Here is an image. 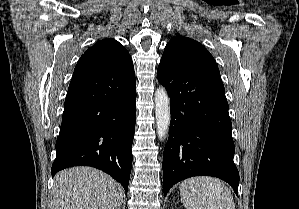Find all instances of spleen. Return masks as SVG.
<instances>
[{"label": "spleen", "instance_id": "1", "mask_svg": "<svg viewBox=\"0 0 299 209\" xmlns=\"http://www.w3.org/2000/svg\"><path fill=\"white\" fill-rule=\"evenodd\" d=\"M180 197L186 209H235L231 190L213 177L184 180L180 184Z\"/></svg>", "mask_w": 299, "mask_h": 209}]
</instances>
